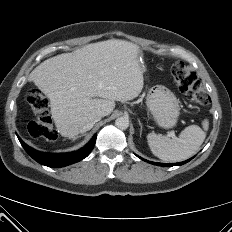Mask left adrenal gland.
I'll list each match as a JSON object with an SVG mask.
<instances>
[{
	"instance_id": "left-adrenal-gland-1",
	"label": "left adrenal gland",
	"mask_w": 232,
	"mask_h": 232,
	"mask_svg": "<svg viewBox=\"0 0 232 232\" xmlns=\"http://www.w3.org/2000/svg\"><path fill=\"white\" fill-rule=\"evenodd\" d=\"M138 122H139V125H140V135H141V133H142V124H141L140 120H138Z\"/></svg>"
}]
</instances>
